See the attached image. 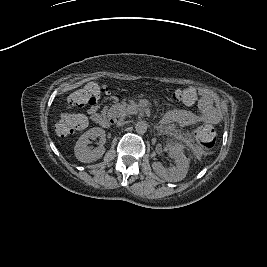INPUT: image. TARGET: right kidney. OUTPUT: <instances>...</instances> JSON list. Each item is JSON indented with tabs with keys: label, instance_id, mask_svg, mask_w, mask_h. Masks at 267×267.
Wrapping results in <instances>:
<instances>
[{
	"label": "right kidney",
	"instance_id": "right-kidney-1",
	"mask_svg": "<svg viewBox=\"0 0 267 267\" xmlns=\"http://www.w3.org/2000/svg\"><path fill=\"white\" fill-rule=\"evenodd\" d=\"M98 140L96 141V139ZM96 141L97 147L88 146L92 141ZM106 142L105 131L99 127H94L87 130L76 142L74 153L76 158L84 163H90L99 159L104 151Z\"/></svg>",
	"mask_w": 267,
	"mask_h": 267
}]
</instances>
